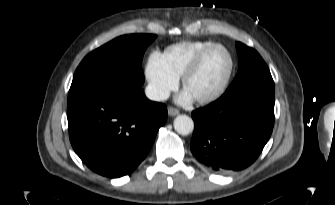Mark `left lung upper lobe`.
I'll list each match as a JSON object with an SVG mask.
<instances>
[{"mask_svg":"<svg viewBox=\"0 0 335 205\" xmlns=\"http://www.w3.org/2000/svg\"><path fill=\"white\" fill-rule=\"evenodd\" d=\"M239 58L237 76L226 91L245 87H260L275 91L268 66L258 52L241 42L236 43Z\"/></svg>","mask_w":335,"mask_h":205,"instance_id":"left-lung-upper-lobe-1","label":"left lung upper lobe"}]
</instances>
